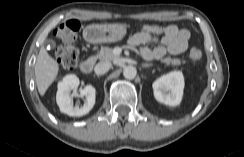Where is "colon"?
Listing matches in <instances>:
<instances>
[{
	"label": "colon",
	"instance_id": "1",
	"mask_svg": "<svg viewBox=\"0 0 244 157\" xmlns=\"http://www.w3.org/2000/svg\"><path fill=\"white\" fill-rule=\"evenodd\" d=\"M80 24L77 20H68L62 23L55 31L54 36L59 41L56 48L55 56L57 62L67 70H72L78 62V51L74 46L78 38ZM165 28L159 24H145L140 28V32L159 35L164 32ZM202 52L199 48L194 47L190 51V57L193 60H199Z\"/></svg>",
	"mask_w": 244,
	"mask_h": 157
}]
</instances>
